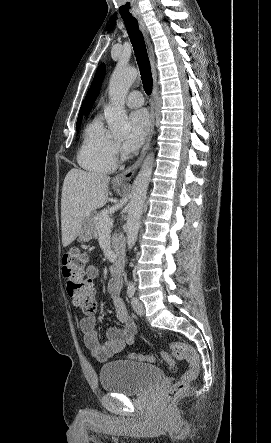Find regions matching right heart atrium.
Returning <instances> with one entry per match:
<instances>
[{"mask_svg":"<svg viewBox=\"0 0 271 443\" xmlns=\"http://www.w3.org/2000/svg\"><path fill=\"white\" fill-rule=\"evenodd\" d=\"M116 151H119V145L116 143Z\"/></svg>","mask_w":271,"mask_h":443,"instance_id":"obj_1","label":"right heart atrium"}]
</instances>
